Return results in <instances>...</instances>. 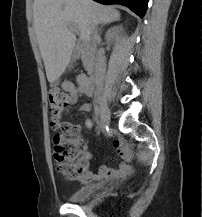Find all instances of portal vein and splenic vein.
<instances>
[{"instance_id": "obj_1", "label": "portal vein and splenic vein", "mask_w": 202, "mask_h": 217, "mask_svg": "<svg viewBox=\"0 0 202 217\" xmlns=\"http://www.w3.org/2000/svg\"><path fill=\"white\" fill-rule=\"evenodd\" d=\"M68 27L70 28V30L74 31L75 33H78V29L74 25L68 24Z\"/></svg>"}]
</instances>
